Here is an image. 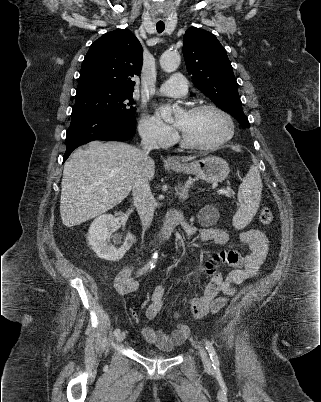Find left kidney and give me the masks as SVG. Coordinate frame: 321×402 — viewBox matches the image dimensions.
I'll list each match as a JSON object with an SVG mask.
<instances>
[{
    "instance_id": "obj_1",
    "label": "left kidney",
    "mask_w": 321,
    "mask_h": 402,
    "mask_svg": "<svg viewBox=\"0 0 321 402\" xmlns=\"http://www.w3.org/2000/svg\"><path fill=\"white\" fill-rule=\"evenodd\" d=\"M218 218V210L212 206L202 208L198 214V219L203 224H214Z\"/></svg>"
}]
</instances>
